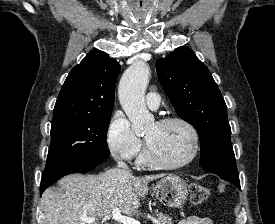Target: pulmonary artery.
Returning a JSON list of instances; mask_svg holds the SVG:
<instances>
[{
  "mask_svg": "<svg viewBox=\"0 0 275 224\" xmlns=\"http://www.w3.org/2000/svg\"><path fill=\"white\" fill-rule=\"evenodd\" d=\"M160 95L156 92H149L146 97V104L151 109H157L160 106Z\"/></svg>",
  "mask_w": 275,
  "mask_h": 224,
  "instance_id": "1",
  "label": "pulmonary artery"
}]
</instances>
